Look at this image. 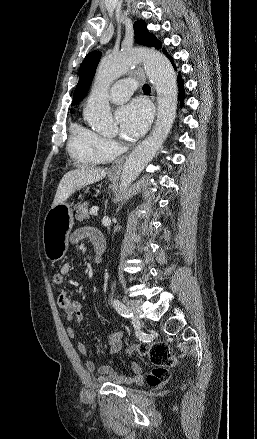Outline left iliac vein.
Listing matches in <instances>:
<instances>
[{"instance_id":"obj_1","label":"left iliac vein","mask_w":257,"mask_h":439,"mask_svg":"<svg viewBox=\"0 0 257 439\" xmlns=\"http://www.w3.org/2000/svg\"><path fill=\"white\" fill-rule=\"evenodd\" d=\"M128 311L133 314V321L139 322V314L141 312V304L137 300H130L127 302Z\"/></svg>"}]
</instances>
